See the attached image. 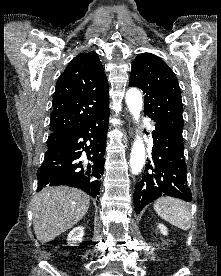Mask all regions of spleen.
Instances as JSON below:
<instances>
[{"label":"spleen","instance_id":"spleen-1","mask_svg":"<svg viewBox=\"0 0 221 276\" xmlns=\"http://www.w3.org/2000/svg\"><path fill=\"white\" fill-rule=\"evenodd\" d=\"M153 207L158 216L170 224L184 231L190 228V212L184 201L171 197H162L154 203Z\"/></svg>","mask_w":221,"mask_h":276}]
</instances>
